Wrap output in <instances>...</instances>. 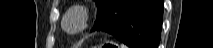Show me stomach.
<instances>
[{"label": "stomach", "mask_w": 213, "mask_h": 48, "mask_svg": "<svg viewBox=\"0 0 213 48\" xmlns=\"http://www.w3.org/2000/svg\"><path fill=\"white\" fill-rule=\"evenodd\" d=\"M103 46H104V44H99V45H97V46H95L93 48H102Z\"/></svg>", "instance_id": "stomach-1"}]
</instances>
